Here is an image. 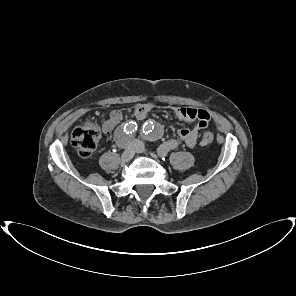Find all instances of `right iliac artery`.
<instances>
[{"label": "right iliac artery", "mask_w": 296, "mask_h": 296, "mask_svg": "<svg viewBox=\"0 0 296 296\" xmlns=\"http://www.w3.org/2000/svg\"><path fill=\"white\" fill-rule=\"evenodd\" d=\"M137 130V124L136 122H128L125 125H122L117 133V143L118 146L124 148L127 146L129 140V137Z\"/></svg>", "instance_id": "right-iliac-artery-1"}]
</instances>
